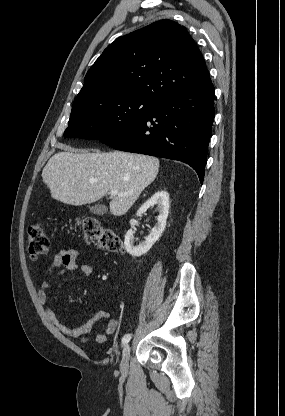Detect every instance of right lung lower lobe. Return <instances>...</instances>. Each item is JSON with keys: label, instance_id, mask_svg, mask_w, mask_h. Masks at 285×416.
Instances as JSON below:
<instances>
[{"label": "right lung lower lobe", "instance_id": "1", "mask_svg": "<svg viewBox=\"0 0 285 416\" xmlns=\"http://www.w3.org/2000/svg\"><path fill=\"white\" fill-rule=\"evenodd\" d=\"M214 113L210 82L159 104L135 124L100 141L118 150L187 163L202 183Z\"/></svg>", "mask_w": 285, "mask_h": 416}]
</instances>
